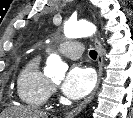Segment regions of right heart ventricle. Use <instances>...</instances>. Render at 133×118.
<instances>
[{
  "mask_svg": "<svg viewBox=\"0 0 133 118\" xmlns=\"http://www.w3.org/2000/svg\"><path fill=\"white\" fill-rule=\"evenodd\" d=\"M41 57L30 58L20 71L17 79V94L27 106L40 108L48 101L52 84L40 68Z\"/></svg>",
  "mask_w": 133,
  "mask_h": 118,
  "instance_id": "right-heart-ventricle-1",
  "label": "right heart ventricle"
}]
</instances>
